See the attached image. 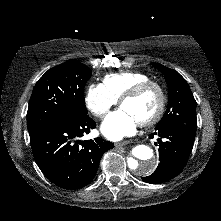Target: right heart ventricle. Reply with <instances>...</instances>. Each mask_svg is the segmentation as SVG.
Returning <instances> with one entry per match:
<instances>
[{
  "label": "right heart ventricle",
  "mask_w": 221,
  "mask_h": 221,
  "mask_svg": "<svg viewBox=\"0 0 221 221\" xmlns=\"http://www.w3.org/2000/svg\"><path fill=\"white\" fill-rule=\"evenodd\" d=\"M147 80H150V78L145 73L122 71L106 75L103 79V85L117 100H119L135 85Z\"/></svg>",
  "instance_id": "right-heart-ventricle-1"
}]
</instances>
